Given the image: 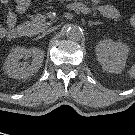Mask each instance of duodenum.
Instances as JSON below:
<instances>
[{"mask_svg":"<svg viewBox=\"0 0 135 135\" xmlns=\"http://www.w3.org/2000/svg\"><path fill=\"white\" fill-rule=\"evenodd\" d=\"M23 35H25V31L23 29L16 28L15 33H14L12 38H18V37H21Z\"/></svg>","mask_w":135,"mask_h":135,"instance_id":"1","label":"duodenum"}]
</instances>
